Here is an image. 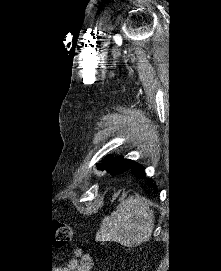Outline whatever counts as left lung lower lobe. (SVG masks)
<instances>
[{
    "label": "left lung lower lobe",
    "mask_w": 221,
    "mask_h": 271,
    "mask_svg": "<svg viewBox=\"0 0 221 271\" xmlns=\"http://www.w3.org/2000/svg\"><path fill=\"white\" fill-rule=\"evenodd\" d=\"M128 170H131V172L133 174H137V175H144V169L141 165L132 162L130 168Z\"/></svg>",
    "instance_id": "1"
}]
</instances>
